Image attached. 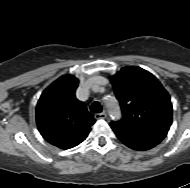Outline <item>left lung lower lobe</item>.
<instances>
[{"label": "left lung lower lobe", "instance_id": "1", "mask_svg": "<svg viewBox=\"0 0 190 188\" xmlns=\"http://www.w3.org/2000/svg\"><path fill=\"white\" fill-rule=\"evenodd\" d=\"M110 127L122 143L131 149L139 151L155 147L166 136L161 133L136 130L114 122L110 123Z\"/></svg>", "mask_w": 190, "mask_h": 188}]
</instances>
